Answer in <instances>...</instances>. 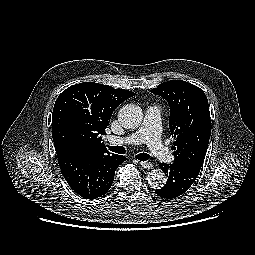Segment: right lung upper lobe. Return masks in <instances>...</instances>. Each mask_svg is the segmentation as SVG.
I'll use <instances>...</instances> for the list:
<instances>
[{"instance_id": "obj_1", "label": "right lung upper lobe", "mask_w": 255, "mask_h": 255, "mask_svg": "<svg viewBox=\"0 0 255 255\" xmlns=\"http://www.w3.org/2000/svg\"><path fill=\"white\" fill-rule=\"evenodd\" d=\"M125 89L95 82L70 86L57 98L52 115V137L58 158L74 155H110L101 135L105 134L113 111L134 96Z\"/></svg>"}]
</instances>
